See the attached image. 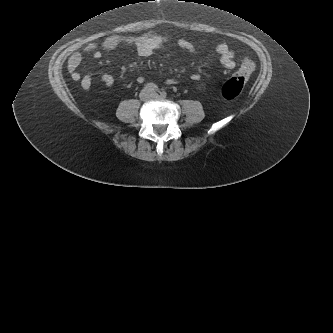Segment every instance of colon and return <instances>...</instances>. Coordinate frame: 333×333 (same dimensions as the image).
<instances>
[{
	"label": "colon",
	"mask_w": 333,
	"mask_h": 333,
	"mask_svg": "<svg viewBox=\"0 0 333 333\" xmlns=\"http://www.w3.org/2000/svg\"><path fill=\"white\" fill-rule=\"evenodd\" d=\"M254 69V62L250 58H245L242 61L239 71L223 84L221 88L222 97L225 99H234L237 97L242 92L246 80Z\"/></svg>",
	"instance_id": "5ec220e1"
}]
</instances>
